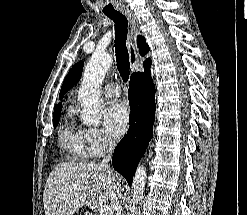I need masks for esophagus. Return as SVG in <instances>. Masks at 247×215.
<instances>
[{
  "mask_svg": "<svg viewBox=\"0 0 247 215\" xmlns=\"http://www.w3.org/2000/svg\"><path fill=\"white\" fill-rule=\"evenodd\" d=\"M122 13L127 17L129 21V25H130V33H129L128 40H127V48L129 51L130 63L131 65L134 66L135 64L140 62V57H139L138 48H137L136 39H135V35L137 34L139 30V24H138V21L135 15L132 13L131 10L123 9Z\"/></svg>",
  "mask_w": 247,
  "mask_h": 215,
  "instance_id": "esophagus-1",
  "label": "esophagus"
}]
</instances>
